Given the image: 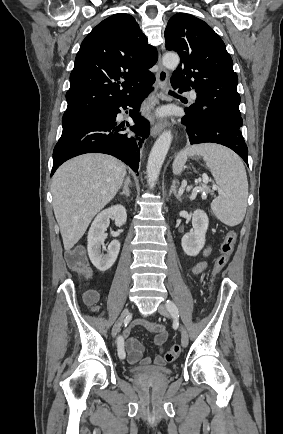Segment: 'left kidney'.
I'll use <instances>...</instances> for the list:
<instances>
[{
    "instance_id": "left-kidney-1",
    "label": "left kidney",
    "mask_w": 283,
    "mask_h": 434,
    "mask_svg": "<svg viewBox=\"0 0 283 434\" xmlns=\"http://www.w3.org/2000/svg\"><path fill=\"white\" fill-rule=\"evenodd\" d=\"M208 225L207 214L203 210H195L192 217L194 231L186 233L181 240L182 248L188 256H197L204 247Z\"/></svg>"
}]
</instances>
